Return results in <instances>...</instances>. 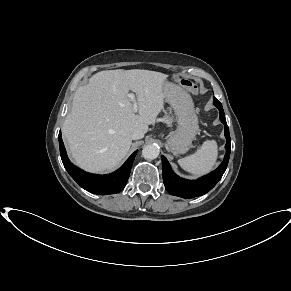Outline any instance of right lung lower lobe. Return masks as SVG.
<instances>
[{"label":"right lung lower lobe","mask_w":291,"mask_h":291,"mask_svg":"<svg viewBox=\"0 0 291 291\" xmlns=\"http://www.w3.org/2000/svg\"><path fill=\"white\" fill-rule=\"evenodd\" d=\"M58 140L60 155L65 169L83 189L98 195H108L118 193L125 187L137 151H135L117 171L107 175H96L86 173L70 162L62 141L61 131Z\"/></svg>","instance_id":"98d812e1"}]
</instances>
